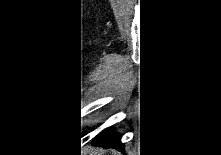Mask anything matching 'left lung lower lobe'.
<instances>
[{"label":"left lung lower lobe","instance_id":"left-lung-lower-lobe-1","mask_svg":"<svg viewBox=\"0 0 221 155\" xmlns=\"http://www.w3.org/2000/svg\"><path fill=\"white\" fill-rule=\"evenodd\" d=\"M95 145H104L107 147H116L123 149V144L120 142V137L116 133H112L106 129L95 137Z\"/></svg>","mask_w":221,"mask_h":155}]
</instances>
